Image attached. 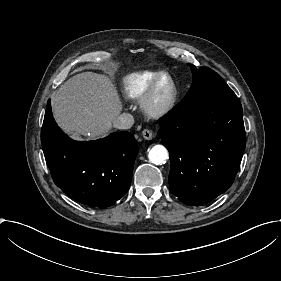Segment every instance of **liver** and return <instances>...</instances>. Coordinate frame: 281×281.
<instances>
[{
    "label": "liver",
    "mask_w": 281,
    "mask_h": 281,
    "mask_svg": "<svg viewBox=\"0 0 281 281\" xmlns=\"http://www.w3.org/2000/svg\"><path fill=\"white\" fill-rule=\"evenodd\" d=\"M54 117L65 132L95 139L106 136L119 117L122 104L111 79L83 72L68 79L51 96Z\"/></svg>",
    "instance_id": "liver-1"
}]
</instances>
